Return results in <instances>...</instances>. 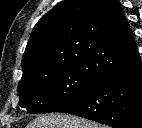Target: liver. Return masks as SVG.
<instances>
[{
    "mask_svg": "<svg viewBox=\"0 0 142 128\" xmlns=\"http://www.w3.org/2000/svg\"><path fill=\"white\" fill-rule=\"evenodd\" d=\"M26 128H105L97 123L69 114L39 115Z\"/></svg>",
    "mask_w": 142,
    "mask_h": 128,
    "instance_id": "obj_1",
    "label": "liver"
}]
</instances>
